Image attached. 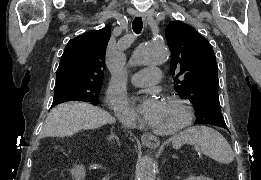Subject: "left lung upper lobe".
<instances>
[{
	"label": "left lung upper lobe",
	"instance_id": "obj_1",
	"mask_svg": "<svg viewBox=\"0 0 261 180\" xmlns=\"http://www.w3.org/2000/svg\"><path fill=\"white\" fill-rule=\"evenodd\" d=\"M175 90L194 106L196 124L225 126L218 95V71L210 43L193 27L171 22L166 30Z\"/></svg>",
	"mask_w": 261,
	"mask_h": 180
}]
</instances>
